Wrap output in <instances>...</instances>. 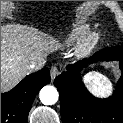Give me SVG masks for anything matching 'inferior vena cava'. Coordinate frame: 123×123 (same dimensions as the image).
<instances>
[{"label": "inferior vena cava", "mask_w": 123, "mask_h": 123, "mask_svg": "<svg viewBox=\"0 0 123 123\" xmlns=\"http://www.w3.org/2000/svg\"><path fill=\"white\" fill-rule=\"evenodd\" d=\"M45 64V60H41L39 62H32L29 65H27V69L29 71H37L40 70Z\"/></svg>", "instance_id": "inferior-vena-cava-1"}]
</instances>
